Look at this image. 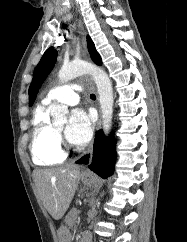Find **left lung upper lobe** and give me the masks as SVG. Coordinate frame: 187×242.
Masks as SVG:
<instances>
[{"label": "left lung upper lobe", "instance_id": "left-lung-upper-lobe-1", "mask_svg": "<svg viewBox=\"0 0 187 242\" xmlns=\"http://www.w3.org/2000/svg\"><path fill=\"white\" fill-rule=\"evenodd\" d=\"M87 45H88V50L91 56V59L93 62L97 65L102 64V60L100 55L95 49L94 43L92 42L91 38L87 36ZM56 57H57V51L54 49V47H50L49 49L46 50V52L43 54L40 62L36 66L33 74V80L31 82L30 88H29V105L31 106L35 98L37 96V93L48 76V74L51 72L53 69L55 62H56Z\"/></svg>", "mask_w": 187, "mask_h": 242}]
</instances>
